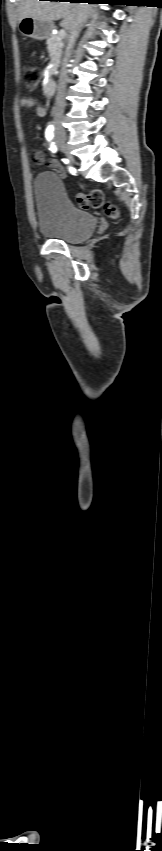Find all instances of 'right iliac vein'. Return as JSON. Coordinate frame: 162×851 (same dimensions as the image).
<instances>
[{
    "mask_svg": "<svg viewBox=\"0 0 162 851\" xmlns=\"http://www.w3.org/2000/svg\"><path fill=\"white\" fill-rule=\"evenodd\" d=\"M59 146H60L61 150H62V151H63V152L67 155V157H68V159H69L70 163H71V164H75V159H74V157L70 154V151H69V149H68V147H67L66 143H65L63 140H61V141L59 142Z\"/></svg>",
    "mask_w": 162,
    "mask_h": 851,
    "instance_id": "63e3f726",
    "label": "right iliac vein"
}]
</instances>
